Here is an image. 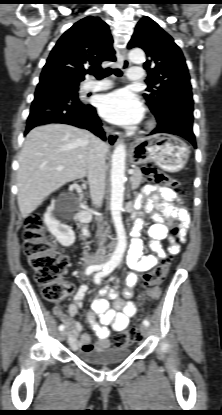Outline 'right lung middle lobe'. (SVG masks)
Here are the masks:
<instances>
[{
    "label": "right lung middle lobe",
    "instance_id": "1",
    "mask_svg": "<svg viewBox=\"0 0 222 415\" xmlns=\"http://www.w3.org/2000/svg\"><path fill=\"white\" fill-rule=\"evenodd\" d=\"M71 89L75 94H78V90H79V84L77 83H73L71 84Z\"/></svg>",
    "mask_w": 222,
    "mask_h": 415
}]
</instances>
